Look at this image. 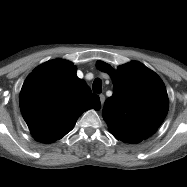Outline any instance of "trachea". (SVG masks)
<instances>
[{
  "mask_svg": "<svg viewBox=\"0 0 187 187\" xmlns=\"http://www.w3.org/2000/svg\"><path fill=\"white\" fill-rule=\"evenodd\" d=\"M93 92L101 93L102 92V81L100 78H96L93 82Z\"/></svg>",
  "mask_w": 187,
  "mask_h": 187,
  "instance_id": "obj_1",
  "label": "trachea"
}]
</instances>
